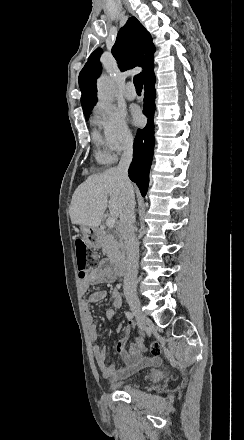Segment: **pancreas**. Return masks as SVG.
<instances>
[{"mask_svg": "<svg viewBox=\"0 0 244 440\" xmlns=\"http://www.w3.org/2000/svg\"><path fill=\"white\" fill-rule=\"evenodd\" d=\"M100 246L103 250V254H107L110 262L112 264H118L122 258V242L118 232H112V234H107V232H101L100 234Z\"/></svg>", "mask_w": 244, "mask_h": 440, "instance_id": "obj_1", "label": "pancreas"}]
</instances>
